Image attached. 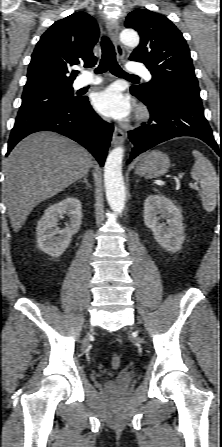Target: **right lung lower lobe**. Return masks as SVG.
<instances>
[{
  "label": "right lung lower lobe",
  "instance_id": "obj_1",
  "mask_svg": "<svg viewBox=\"0 0 222 447\" xmlns=\"http://www.w3.org/2000/svg\"><path fill=\"white\" fill-rule=\"evenodd\" d=\"M113 126L103 121L92 109L87 97L47 111L17 117L8 142V152L27 135L38 131H54L87 148L101 166L107 156Z\"/></svg>",
  "mask_w": 222,
  "mask_h": 447
}]
</instances>
